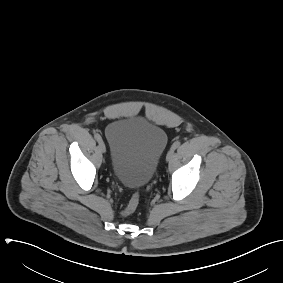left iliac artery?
I'll return each mask as SVG.
<instances>
[{"label": "left iliac artery", "instance_id": "1", "mask_svg": "<svg viewBox=\"0 0 283 283\" xmlns=\"http://www.w3.org/2000/svg\"><path fill=\"white\" fill-rule=\"evenodd\" d=\"M180 141H176V142H174L173 144H172V146H171V149L172 150H175V149H177L179 146H180Z\"/></svg>", "mask_w": 283, "mask_h": 283}]
</instances>
